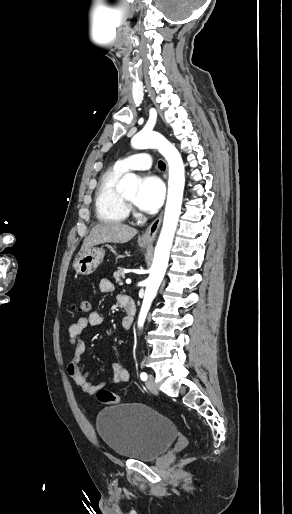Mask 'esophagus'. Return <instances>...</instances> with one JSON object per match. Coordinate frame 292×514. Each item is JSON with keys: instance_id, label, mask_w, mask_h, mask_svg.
<instances>
[{"instance_id": "34e87169", "label": "esophagus", "mask_w": 292, "mask_h": 514, "mask_svg": "<svg viewBox=\"0 0 292 514\" xmlns=\"http://www.w3.org/2000/svg\"><path fill=\"white\" fill-rule=\"evenodd\" d=\"M163 213L159 215L140 236L139 240L144 243L153 242L162 222Z\"/></svg>"}]
</instances>
